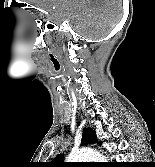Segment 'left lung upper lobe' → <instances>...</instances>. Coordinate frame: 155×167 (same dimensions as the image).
I'll return each instance as SVG.
<instances>
[{
    "label": "left lung upper lobe",
    "instance_id": "1",
    "mask_svg": "<svg viewBox=\"0 0 155 167\" xmlns=\"http://www.w3.org/2000/svg\"><path fill=\"white\" fill-rule=\"evenodd\" d=\"M96 135L95 131L91 128H84L82 134L81 145H87L91 143H95ZM70 163L63 162V154L57 155L50 163H48V167H70Z\"/></svg>",
    "mask_w": 155,
    "mask_h": 167
}]
</instances>
